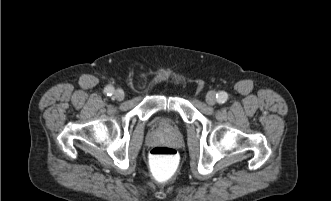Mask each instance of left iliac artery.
<instances>
[{
    "label": "left iliac artery",
    "instance_id": "1",
    "mask_svg": "<svg viewBox=\"0 0 331 201\" xmlns=\"http://www.w3.org/2000/svg\"><path fill=\"white\" fill-rule=\"evenodd\" d=\"M216 98L219 103H224L228 99V94L226 92L222 91V92H219L218 94H216Z\"/></svg>",
    "mask_w": 331,
    "mask_h": 201
}]
</instances>
